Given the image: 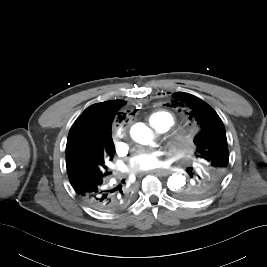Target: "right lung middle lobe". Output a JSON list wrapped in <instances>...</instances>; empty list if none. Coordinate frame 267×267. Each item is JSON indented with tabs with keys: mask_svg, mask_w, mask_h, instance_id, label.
<instances>
[{
	"mask_svg": "<svg viewBox=\"0 0 267 267\" xmlns=\"http://www.w3.org/2000/svg\"><path fill=\"white\" fill-rule=\"evenodd\" d=\"M114 153L111 136L99 143L83 140L79 147L66 149V166L70 182L84 177L110 176L112 172L108 165Z\"/></svg>",
	"mask_w": 267,
	"mask_h": 267,
	"instance_id": "1",
	"label": "right lung middle lobe"
}]
</instances>
